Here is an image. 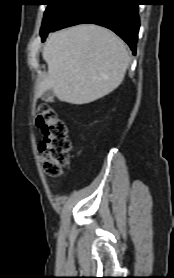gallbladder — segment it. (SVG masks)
Segmentation results:
<instances>
[{"instance_id": "bac80fb5", "label": "gallbladder", "mask_w": 174, "mask_h": 278, "mask_svg": "<svg viewBox=\"0 0 174 278\" xmlns=\"http://www.w3.org/2000/svg\"><path fill=\"white\" fill-rule=\"evenodd\" d=\"M41 98L45 102H53L55 98V94L51 89H49L42 94Z\"/></svg>"}]
</instances>
